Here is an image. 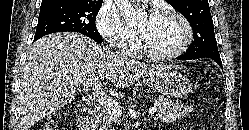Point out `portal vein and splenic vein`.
<instances>
[{"label":"portal vein and splenic vein","instance_id":"portal-vein-and-splenic-vein-1","mask_svg":"<svg viewBox=\"0 0 249 130\" xmlns=\"http://www.w3.org/2000/svg\"><path fill=\"white\" fill-rule=\"evenodd\" d=\"M100 83H95V89L91 93L94 99L102 105L108 113L112 115H120L122 113L121 107L112 99L108 98L103 92L100 91ZM157 111L156 107H151L148 111L149 115H153Z\"/></svg>","mask_w":249,"mask_h":130}]
</instances>
